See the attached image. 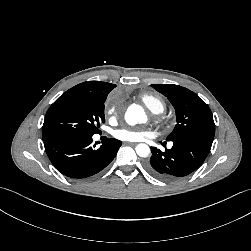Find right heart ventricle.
Instances as JSON below:
<instances>
[{"mask_svg": "<svg viewBox=\"0 0 251 251\" xmlns=\"http://www.w3.org/2000/svg\"><path fill=\"white\" fill-rule=\"evenodd\" d=\"M144 105L153 113H161L165 109V102L157 95L144 93L139 96Z\"/></svg>", "mask_w": 251, "mask_h": 251, "instance_id": "e07e8e85", "label": "right heart ventricle"}]
</instances>
